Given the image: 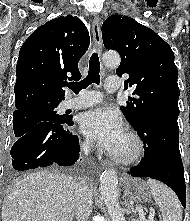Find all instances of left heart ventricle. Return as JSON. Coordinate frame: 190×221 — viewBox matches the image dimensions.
Instances as JSON below:
<instances>
[{
  "label": "left heart ventricle",
  "mask_w": 190,
  "mask_h": 221,
  "mask_svg": "<svg viewBox=\"0 0 190 221\" xmlns=\"http://www.w3.org/2000/svg\"><path fill=\"white\" fill-rule=\"evenodd\" d=\"M134 144L129 136L124 133L119 142L110 150L120 156H128L132 154Z\"/></svg>",
  "instance_id": "b2bd125f"
}]
</instances>
